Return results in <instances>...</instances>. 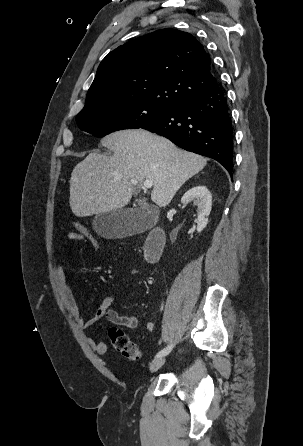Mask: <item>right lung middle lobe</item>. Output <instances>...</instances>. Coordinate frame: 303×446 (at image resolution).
I'll use <instances>...</instances> for the list:
<instances>
[{"label": "right lung middle lobe", "instance_id": "1", "mask_svg": "<svg viewBox=\"0 0 303 446\" xmlns=\"http://www.w3.org/2000/svg\"><path fill=\"white\" fill-rule=\"evenodd\" d=\"M171 108L142 101L115 103L81 111L76 122L81 130L103 137L121 129L141 128Z\"/></svg>", "mask_w": 303, "mask_h": 446}]
</instances>
